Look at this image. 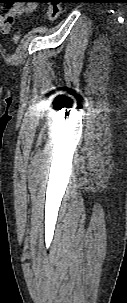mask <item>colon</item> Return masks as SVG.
Here are the masks:
<instances>
[{"mask_svg": "<svg viewBox=\"0 0 127 303\" xmlns=\"http://www.w3.org/2000/svg\"><path fill=\"white\" fill-rule=\"evenodd\" d=\"M48 2V17L51 21H55L61 13V6L57 0H48ZM18 37L19 34H16L13 40H17Z\"/></svg>", "mask_w": 127, "mask_h": 303, "instance_id": "obj_1", "label": "colon"}]
</instances>
